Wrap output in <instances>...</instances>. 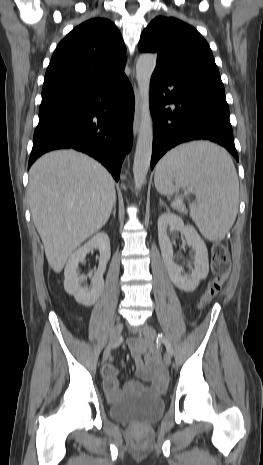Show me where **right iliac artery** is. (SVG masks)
Returning a JSON list of instances; mask_svg holds the SVG:
<instances>
[{
    "mask_svg": "<svg viewBox=\"0 0 263 465\" xmlns=\"http://www.w3.org/2000/svg\"><path fill=\"white\" fill-rule=\"evenodd\" d=\"M121 341H122V338H120V339L114 344V346H113L112 348H116L117 346H119V344L121 343Z\"/></svg>",
    "mask_w": 263,
    "mask_h": 465,
    "instance_id": "1",
    "label": "right iliac artery"
}]
</instances>
